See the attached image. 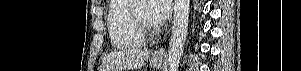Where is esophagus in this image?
I'll return each instance as SVG.
<instances>
[{
	"mask_svg": "<svg viewBox=\"0 0 301 71\" xmlns=\"http://www.w3.org/2000/svg\"><path fill=\"white\" fill-rule=\"evenodd\" d=\"M166 55V52L163 48H160L159 50H157L155 53H154V57L155 58H162Z\"/></svg>",
	"mask_w": 301,
	"mask_h": 71,
	"instance_id": "esophagus-1",
	"label": "esophagus"
}]
</instances>
